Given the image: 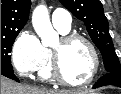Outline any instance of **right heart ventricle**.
<instances>
[{
  "label": "right heart ventricle",
  "mask_w": 121,
  "mask_h": 94,
  "mask_svg": "<svg viewBox=\"0 0 121 94\" xmlns=\"http://www.w3.org/2000/svg\"><path fill=\"white\" fill-rule=\"evenodd\" d=\"M57 30L62 34H67L70 29H62L56 27ZM39 76L43 80H51L52 76V65H51V50L44 47V62L39 70Z\"/></svg>",
  "instance_id": "obj_1"
}]
</instances>
